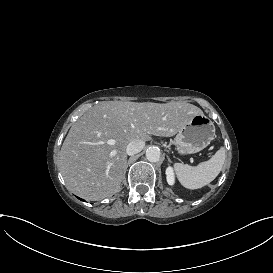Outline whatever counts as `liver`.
I'll use <instances>...</instances> for the list:
<instances>
[{
	"instance_id": "liver-1",
	"label": "liver",
	"mask_w": 273,
	"mask_h": 273,
	"mask_svg": "<svg viewBox=\"0 0 273 273\" xmlns=\"http://www.w3.org/2000/svg\"><path fill=\"white\" fill-rule=\"evenodd\" d=\"M202 110L189 103L105 102L75 122L63 142L60 169L70 189L97 201L120 192L126 147L149 134L175 135Z\"/></svg>"
}]
</instances>
